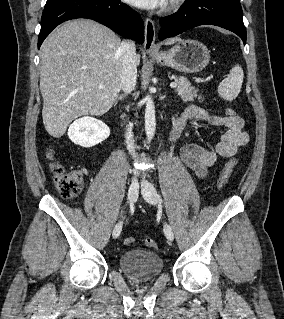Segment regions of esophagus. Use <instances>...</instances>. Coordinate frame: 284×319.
Wrapping results in <instances>:
<instances>
[{"label": "esophagus", "instance_id": "obj_1", "mask_svg": "<svg viewBox=\"0 0 284 319\" xmlns=\"http://www.w3.org/2000/svg\"><path fill=\"white\" fill-rule=\"evenodd\" d=\"M145 41L144 49L146 52H156L158 48L155 44L156 29L154 22L150 18L145 19Z\"/></svg>", "mask_w": 284, "mask_h": 319}]
</instances>
